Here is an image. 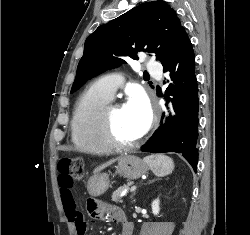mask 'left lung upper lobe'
<instances>
[{
  "label": "left lung upper lobe",
  "mask_w": 250,
  "mask_h": 235,
  "mask_svg": "<svg viewBox=\"0 0 250 235\" xmlns=\"http://www.w3.org/2000/svg\"><path fill=\"white\" fill-rule=\"evenodd\" d=\"M183 29L175 11L164 1L143 3L99 26L85 41L71 92L88 79L137 59L138 52L155 56L161 63Z\"/></svg>",
  "instance_id": "obj_1"
}]
</instances>
